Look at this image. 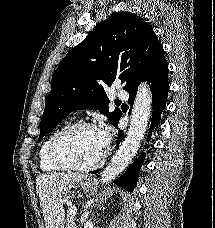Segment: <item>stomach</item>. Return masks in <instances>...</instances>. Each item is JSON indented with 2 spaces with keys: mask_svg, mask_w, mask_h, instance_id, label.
Returning a JSON list of instances; mask_svg holds the SVG:
<instances>
[{
  "mask_svg": "<svg viewBox=\"0 0 215 228\" xmlns=\"http://www.w3.org/2000/svg\"><path fill=\"white\" fill-rule=\"evenodd\" d=\"M97 182H92L91 178H84V180H81L80 184H78L79 188H81V190H84V192H89L90 188H93V186H96ZM70 188H72V186H68V188H65V194H67V192H69Z\"/></svg>",
  "mask_w": 215,
  "mask_h": 228,
  "instance_id": "0dacf381",
  "label": "stomach"
}]
</instances>
